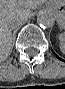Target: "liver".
<instances>
[{
  "label": "liver",
  "instance_id": "1",
  "mask_svg": "<svg viewBox=\"0 0 65 89\" xmlns=\"http://www.w3.org/2000/svg\"><path fill=\"white\" fill-rule=\"evenodd\" d=\"M54 1H48L51 3ZM63 2V1H59ZM43 0H1L0 1V57L5 58L12 46L13 24L22 17L28 18L31 11L43 4Z\"/></svg>",
  "mask_w": 65,
  "mask_h": 89
}]
</instances>
